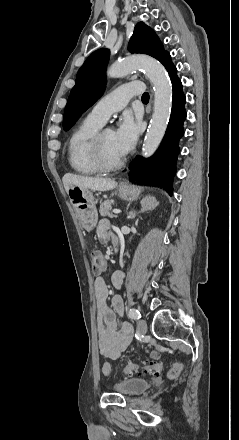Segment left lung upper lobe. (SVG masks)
Listing matches in <instances>:
<instances>
[{"mask_svg":"<svg viewBox=\"0 0 239 440\" xmlns=\"http://www.w3.org/2000/svg\"><path fill=\"white\" fill-rule=\"evenodd\" d=\"M128 49L132 53L148 54L160 62L167 51L155 32L143 22H139L130 39ZM110 52L101 48L94 51L79 69L75 86L70 92L65 107L63 129L69 130L79 116L103 94L106 84L105 70Z\"/></svg>","mask_w":239,"mask_h":440,"instance_id":"left-lung-upper-lobe-1","label":"left lung upper lobe"}]
</instances>
